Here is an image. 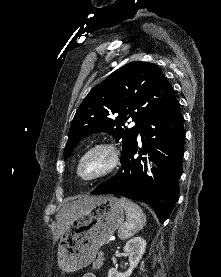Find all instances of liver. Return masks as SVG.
I'll use <instances>...</instances> for the list:
<instances>
[{
	"instance_id": "liver-1",
	"label": "liver",
	"mask_w": 221,
	"mask_h": 277,
	"mask_svg": "<svg viewBox=\"0 0 221 277\" xmlns=\"http://www.w3.org/2000/svg\"><path fill=\"white\" fill-rule=\"evenodd\" d=\"M100 197H84L65 204L56 215L57 229L54 232V241H57L65 232L71 218L76 216L82 209L92 206Z\"/></svg>"
}]
</instances>
